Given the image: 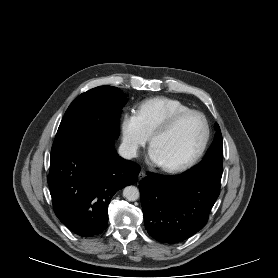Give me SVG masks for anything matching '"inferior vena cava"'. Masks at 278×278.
Instances as JSON below:
<instances>
[{
  "label": "inferior vena cava",
  "mask_w": 278,
  "mask_h": 278,
  "mask_svg": "<svg viewBox=\"0 0 278 278\" xmlns=\"http://www.w3.org/2000/svg\"><path fill=\"white\" fill-rule=\"evenodd\" d=\"M118 153L125 159H131L137 155V146L128 143H122L119 147Z\"/></svg>",
  "instance_id": "602c4592"
}]
</instances>
